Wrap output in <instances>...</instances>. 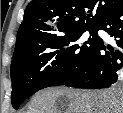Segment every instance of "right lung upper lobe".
<instances>
[{
    "label": "right lung upper lobe",
    "instance_id": "cb5924a9",
    "mask_svg": "<svg viewBox=\"0 0 123 113\" xmlns=\"http://www.w3.org/2000/svg\"><path fill=\"white\" fill-rule=\"evenodd\" d=\"M123 0H32L17 33L16 46L73 29L96 27Z\"/></svg>",
    "mask_w": 123,
    "mask_h": 113
}]
</instances>
